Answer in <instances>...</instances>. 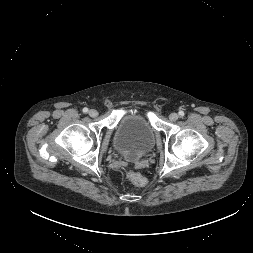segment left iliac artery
<instances>
[{
    "label": "left iliac artery",
    "mask_w": 253,
    "mask_h": 253,
    "mask_svg": "<svg viewBox=\"0 0 253 253\" xmlns=\"http://www.w3.org/2000/svg\"><path fill=\"white\" fill-rule=\"evenodd\" d=\"M179 115H180L181 117H183V116H184V112H183V111H179Z\"/></svg>",
    "instance_id": "obj_1"
}]
</instances>
